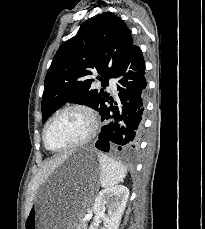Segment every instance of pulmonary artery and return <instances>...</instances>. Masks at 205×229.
I'll return each instance as SVG.
<instances>
[{
    "label": "pulmonary artery",
    "instance_id": "e3ab8cb5",
    "mask_svg": "<svg viewBox=\"0 0 205 229\" xmlns=\"http://www.w3.org/2000/svg\"><path fill=\"white\" fill-rule=\"evenodd\" d=\"M109 88L111 91L116 92V83L113 79L109 80Z\"/></svg>",
    "mask_w": 205,
    "mask_h": 229
}]
</instances>
